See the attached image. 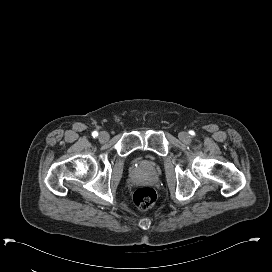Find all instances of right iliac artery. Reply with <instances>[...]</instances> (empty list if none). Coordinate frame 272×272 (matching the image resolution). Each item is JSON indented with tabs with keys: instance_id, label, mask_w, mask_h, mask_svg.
<instances>
[{
	"instance_id": "right-iliac-artery-1",
	"label": "right iliac artery",
	"mask_w": 272,
	"mask_h": 272,
	"mask_svg": "<svg viewBox=\"0 0 272 272\" xmlns=\"http://www.w3.org/2000/svg\"><path fill=\"white\" fill-rule=\"evenodd\" d=\"M92 136H93V137H97V136H98V132H97V131H93V132H92Z\"/></svg>"
}]
</instances>
